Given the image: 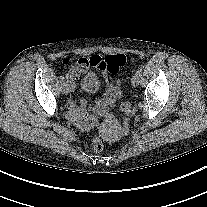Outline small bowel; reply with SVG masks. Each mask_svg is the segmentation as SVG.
<instances>
[{
  "label": "small bowel",
  "mask_w": 207,
  "mask_h": 207,
  "mask_svg": "<svg viewBox=\"0 0 207 207\" xmlns=\"http://www.w3.org/2000/svg\"><path fill=\"white\" fill-rule=\"evenodd\" d=\"M98 58V57H96ZM82 70L86 68L81 62ZM105 88L100 99L91 102L82 99L79 104L74 100L68 101V117L82 130L94 129L99 125L98 117L107 116L114 107L116 101L121 97V82L112 76H103ZM71 91L74 90V83L70 82Z\"/></svg>",
  "instance_id": "small-bowel-1"
}]
</instances>
